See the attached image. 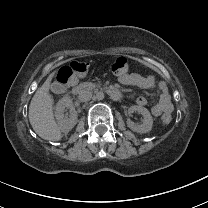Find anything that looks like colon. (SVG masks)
<instances>
[{
  "label": "colon",
  "mask_w": 208,
  "mask_h": 208,
  "mask_svg": "<svg viewBox=\"0 0 208 208\" xmlns=\"http://www.w3.org/2000/svg\"><path fill=\"white\" fill-rule=\"evenodd\" d=\"M69 67L73 72H85L87 70V65L83 61H73ZM110 70L114 75H125L131 70L130 61L125 57H119L114 61ZM171 121L172 117L165 113L160 117L159 124L166 127L171 124Z\"/></svg>",
  "instance_id": "obj_1"
}]
</instances>
